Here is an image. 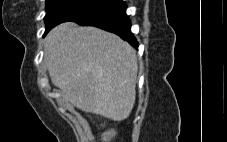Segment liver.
Segmentation results:
<instances>
[{"label":"liver","mask_w":227,"mask_h":142,"mask_svg":"<svg viewBox=\"0 0 227 142\" xmlns=\"http://www.w3.org/2000/svg\"><path fill=\"white\" fill-rule=\"evenodd\" d=\"M51 82L76 108L114 121L129 117L138 71L135 49L115 34L62 23L47 35Z\"/></svg>","instance_id":"liver-1"}]
</instances>
